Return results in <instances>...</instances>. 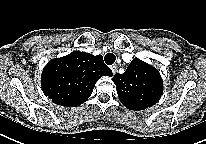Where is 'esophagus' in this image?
I'll use <instances>...</instances> for the list:
<instances>
[{
	"mask_svg": "<svg viewBox=\"0 0 206 144\" xmlns=\"http://www.w3.org/2000/svg\"><path fill=\"white\" fill-rule=\"evenodd\" d=\"M110 68L112 70V73L115 74L116 70H117V66L116 65H111Z\"/></svg>",
	"mask_w": 206,
	"mask_h": 144,
	"instance_id": "obj_1",
	"label": "esophagus"
}]
</instances>
